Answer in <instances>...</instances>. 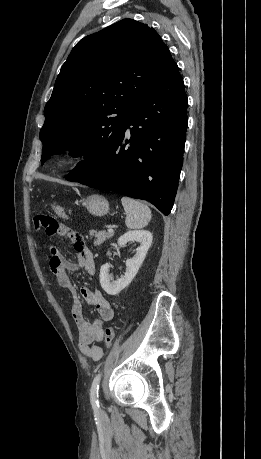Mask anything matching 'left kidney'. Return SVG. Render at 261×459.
<instances>
[{
    "mask_svg": "<svg viewBox=\"0 0 261 459\" xmlns=\"http://www.w3.org/2000/svg\"><path fill=\"white\" fill-rule=\"evenodd\" d=\"M152 238L151 232L147 230H134L126 232L118 239V246L120 247L128 242H137L139 247L133 258L127 260L126 271L119 279L114 281L112 276L109 275L110 265L108 263L101 266L100 284L107 294L117 295L131 283L146 257L152 244ZM107 255L110 256L111 253L108 251Z\"/></svg>",
    "mask_w": 261,
    "mask_h": 459,
    "instance_id": "left-kidney-1",
    "label": "left kidney"
}]
</instances>
